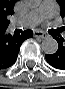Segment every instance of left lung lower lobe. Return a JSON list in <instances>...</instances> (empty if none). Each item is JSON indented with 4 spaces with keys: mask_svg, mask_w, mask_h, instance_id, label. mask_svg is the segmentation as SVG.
I'll return each instance as SVG.
<instances>
[{
    "mask_svg": "<svg viewBox=\"0 0 65 89\" xmlns=\"http://www.w3.org/2000/svg\"><path fill=\"white\" fill-rule=\"evenodd\" d=\"M54 38L58 42V50L55 54L45 55V58L54 68L65 70V38L60 35Z\"/></svg>",
    "mask_w": 65,
    "mask_h": 89,
    "instance_id": "obj_1",
    "label": "left lung lower lobe"
}]
</instances>
